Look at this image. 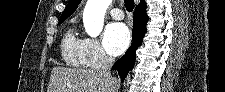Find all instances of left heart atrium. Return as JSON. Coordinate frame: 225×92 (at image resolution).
<instances>
[{"instance_id": "obj_1", "label": "left heart atrium", "mask_w": 225, "mask_h": 92, "mask_svg": "<svg viewBox=\"0 0 225 92\" xmlns=\"http://www.w3.org/2000/svg\"><path fill=\"white\" fill-rule=\"evenodd\" d=\"M130 31L123 23H112L107 26L103 42L108 54L117 56L122 54L130 43Z\"/></svg>"}]
</instances>
